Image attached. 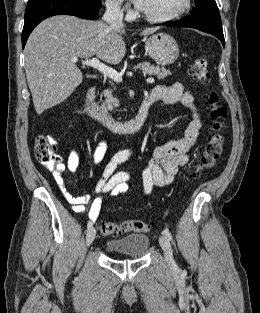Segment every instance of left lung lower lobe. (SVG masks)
<instances>
[{
	"label": "left lung lower lobe",
	"mask_w": 260,
	"mask_h": 313,
	"mask_svg": "<svg viewBox=\"0 0 260 313\" xmlns=\"http://www.w3.org/2000/svg\"><path fill=\"white\" fill-rule=\"evenodd\" d=\"M168 26L192 27V28H195V27H193L191 24H189L188 22H186V23H173V24H170V25H168ZM196 29H198V28H196ZM199 30H201V31H203V32L210 33V34L216 36V37L222 42V44L224 45V35H223V32L214 31V30H208V29H204V30L199 29Z\"/></svg>",
	"instance_id": "1"
}]
</instances>
